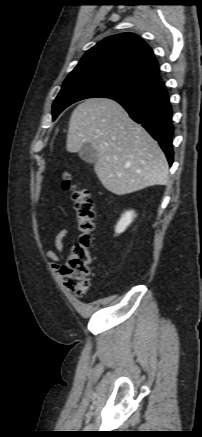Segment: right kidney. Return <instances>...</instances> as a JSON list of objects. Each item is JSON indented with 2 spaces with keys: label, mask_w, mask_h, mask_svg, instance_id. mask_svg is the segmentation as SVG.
Wrapping results in <instances>:
<instances>
[{
  "label": "right kidney",
  "mask_w": 202,
  "mask_h": 437,
  "mask_svg": "<svg viewBox=\"0 0 202 437\" xmlns=\"http://www.w3.org/2000/svg\"><path fill=\"white\" fill-rule=\"evenodd\" d=\"M135 217L136 214L133 210L125 212L115 226L116 234H121L122 232H124L126 228L132 223Z\"/></svg>",
  "instance_id": "right-kidney-1"
}]
</instances>
